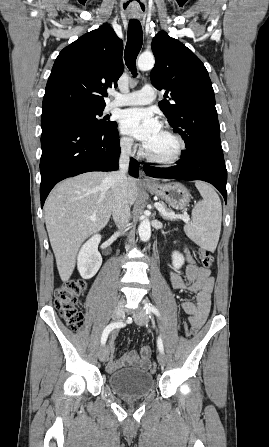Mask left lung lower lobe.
<instances>
[{
    "mask_svg": "<svg viewBox=\"0 0 269 447\" xmlns=\"http://www.w3.org/2000/svg\"><path fill=\"white\" fill-rule=\"evenodd\" d=\"M148 176L179 180H203L214 185L227 202V170L222 148L206 147L190 156H181L178 165L169 168L143 167Z\"/></svg>",
    "mask_w": 269,
    "mask_h": 447,
    "instance_id": "1",
    "label": "left lung lower lobe"
}]
</instances>
